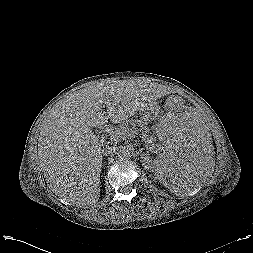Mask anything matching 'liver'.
I'll return each mask as SVG.
<instances>
[{
	"instance_id": "1",
	"label": "liver",
	"mask_w": 253,
	"mask_h": 253,
	"mask_svg": "<svg viewBox=\"0 0 253 253\" xmlns=\"http://www.w3.org/2000/svg\"><path fill=\"white\" fill-rule=\"evenodd\" d=\"M157 95L156 85L124 80L90 85L61 101L43 120L38 144L40 165L53 193L77 207L95 205L103 158L92 128L108 120L126 121Z\"/></svg>"
}]
</instances>
